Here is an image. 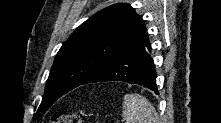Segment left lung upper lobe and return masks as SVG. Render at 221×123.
Listing matches in <instances>:
<instances>
[{
    "mask_svg": "<svg viewBox=\"0 0 221 123\" xmlns=\"http://www.w3.org/2000/svg\"><path fill=\"white\" fill-rule=\"evenodd\" d=\"M145 34L142 18L126 3L111 5L82 23L58 51L35 117Z\"/></svg>",
    "mask_w": 221,
    "mask_h": 123,
    "instance_id": "left-lung-upper-lobe-1",
    "label": "left lung upper lobe"
}]
</instances>
